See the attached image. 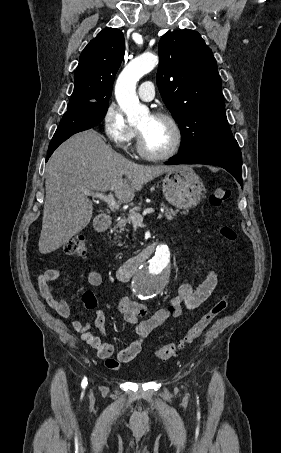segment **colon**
Instances as JSON below:
<instances>
[{"instance_id":"5ec220e1","label":"colon","mask_w":281,"mask_h":453,"mask_svg":"<svg viewBox=\"0 0 281 453\" xmlns=\"http://www.w3.org/2000/svg\"><path fill=\"white\" fill-rule=\"evenodd\" d=\"M229 194L230 189L228 186H217L210 195V202L214 206H222L226 203ZM217 231L219 236L226 241H234L236 239L235 231L224 223L218 224ZM62 251L67 257H83L87 255L88 245L83 238H73L62 246ZM228 306L229 301L227 298H221L209 306L203 311L189 331L181 335L175 342L164 345L157 350V360L160 363L169 362L178 349L184 348L198 340Z\"/></svg>"}]
</instances>
